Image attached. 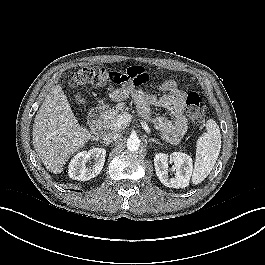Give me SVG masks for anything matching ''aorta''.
<instances>
[{"mask_svg": "<svg viewBox=\"0 0 265 265\" xmlns=\"http://www.w3.org/2000/svg\"><path fill=\"white\" fill-rule=\"evenodd\" d=\"M140 146V140L137 137H130L127 140V149L129 151H137Z\"/></svg>", "mask_w": 265, "mask_h": 265, "instance_id": "obj_1", "label": "aorta"}]
</instances>
